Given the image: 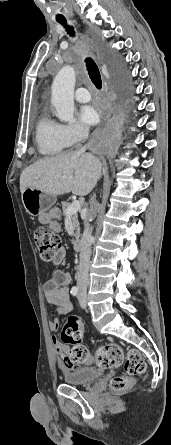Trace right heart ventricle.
Segmentation results:
<instances>
[{
  "instance_id": "obj_1",
  "label": "right heart ventricle",
  "mask_w": 171,
  "mask_h": 445,
  "mask_svg": "<svg viewBox=\"0 0 171 445\" xmlns=\"http://www.w3.org/2000/svg\"><path fill=\"white\" fill-rule=\"evenodd\" d=\"M35 140L43 155L60 154L68 146L61 125L47 114H43L36 125Z\"/></svg>"
}]
</instances>
